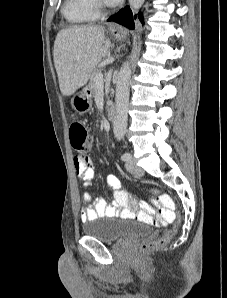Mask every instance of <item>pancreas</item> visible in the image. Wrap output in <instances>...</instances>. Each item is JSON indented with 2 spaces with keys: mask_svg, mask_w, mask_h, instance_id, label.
Returning a JSON list of instances; mask_svg holds the SVG:
<instances>
[{
  "mask_svg": "<svg viewBox=\"0 0 227 298\" xmlns=\"http://www.w3.org/2000/svg\"><path fill=\"white\" fill-rule=\"evenodd\" d=\"M102 73V69L101 68H97L93 71L91 77H90V81H89V89L90 91L95 94L96 89H97V84L95 83V77L99 74Z\"/></svg>",
  "mask_w": 227,
  "mask_h": 298,
  "instance_id": "pancreas-1",
  "label": "pancreas"
}]
</instances>
